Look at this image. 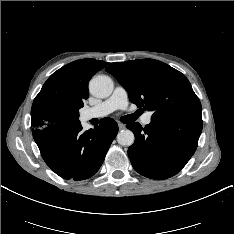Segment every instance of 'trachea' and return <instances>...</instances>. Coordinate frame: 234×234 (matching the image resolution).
<instances>
[{
    "instance_id": "1",
    "label": "trachea",
    "mask_w": 234,
    "mask_h": 234,
    "mask_svg": "<svg viewBox=\"0 0 234 234\" xmlns=\"http://www.w3.org/2000/svg\"><path fill=\"white\" fill-rule=\"evenodd\" d=\"M139 113H134V114H131V115H126L124 117L121 118V121L123 123H130V122H133L137 119Z\"/></svg>"
}]
</instances>
